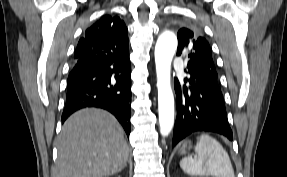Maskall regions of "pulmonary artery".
<instances>
[{
	"instance_id": "1",
	"label": "pulmonary artery",
	"mask_w": 287,
	"mask_h": 177,
	"mask_svg": "<svg viewBox=\"0 0 287 177\" xmlns=\"http://www.w3.org/2000/svg\"><path fill=\"white\" fill-rule=\"evenodd\" d=\"M182 64V58L181 57H176L174 59V65L175 66H180Z\"/></svg>"
}]
</instances>
